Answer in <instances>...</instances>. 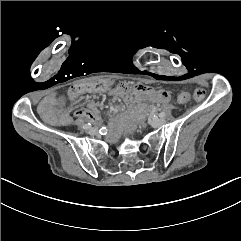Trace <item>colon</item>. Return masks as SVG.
<instances>
[{"label":"colon","instance_id":"colon-1","mask_svg":"<svg viewBox=\"0 0 241 241\" xmlns=\"http://www.w3.org/2000/svg\"><path fill=\"white\" fill-rule=\"evenodd\" d=\"M109 85L105 84L104 79H81L79 84H70L69 96L72 99L81 97V93H108ZM196 99H202L205 96V91L197 88L193 93ZM191 100V95L188 92L179 94L181 103H188Z\"/></svg>","mask_w":241,"mask_h":241}]
</instances>
